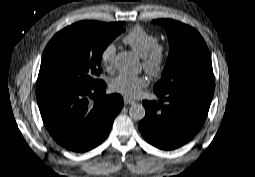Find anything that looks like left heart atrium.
Wrapping results in <instances>:
<instances>
[{
  "label": "left heart atrium",
  "mask_w": 255,
  "mask_h": 177,
  "mask_svg": "<svg viewBox=\"0 0 255 177\" xmlns=\"http://www.w3.org/2000/svg\"><path fill=\"white\" fill-rule=\"evenodd\" d=\"M147 80L144 76L119 75L110 82L111 91L128 98H135L141 94Z\"/></svg>",
  "instance_id": "obj_1"
}]
</instances>
